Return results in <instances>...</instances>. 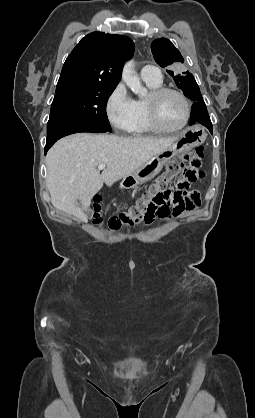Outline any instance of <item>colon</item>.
<instances>
[{
    "instance_id": "obj_1",
    "label": "colon",
    "mask_w": 255,
    "mask_h": 418,
    "mask_svg": "<svg viewBox=\"0 0 255 418\" xmlns=\"http://www.w3.org/2000/svg\"><path fill=\"white\" fill-rule=\"evenodd\" d=\"M202 147L185 153L180 161L172 162L160 180L149 187L144 198L134 207L113 216L108 221V230L118 232L124 226H132L140 221L152 224L156 219L167 218L170 214L180 215L184 211L193 210L200 205L199 193L190 190V184L203 178ZM180 175L177 189H164L165 183L172 177ZM93 222H102V209L99 200L94 206Z\"/></svg>"
}]
</instances>
